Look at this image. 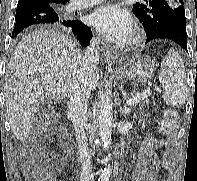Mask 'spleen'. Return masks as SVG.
<instances>
[{
  "mask_svg": "<svg viewBox=\"0 0 197 181\" xmlns=\"http://www.w3.org/2000/svg\"><path fill=\"white\" fill-rule=\"evenodd\" d=\"M159 82L163 86V98L167 105L179 108L185 103L187 96L185 66L175 50H170L164 57Z\"/></svg>",
  "mask_w": 197,
  "mask_h": 181,
  "instance_id": "obj_1",
  "label": "spleen"
}]
</instances>
